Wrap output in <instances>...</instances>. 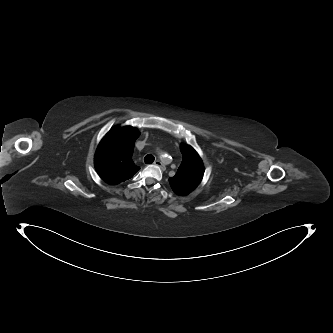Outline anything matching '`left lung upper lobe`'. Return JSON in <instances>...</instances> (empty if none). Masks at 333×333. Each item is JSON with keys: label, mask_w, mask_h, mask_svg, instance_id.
Returning <instances> with one entry per match:
<instances>
[{"label": "left lung upper lobe", "mask_w": 333, "mask_h": 333, "mask_svg": "<svg viewBox=\"0 0 333 333\" xmlns=\"http://www.w3.org/2000/svg\"><path fill=\"white\" fill-rule=\"evenodd\" d=\"M180 150L182 163L175 176L169 178V183L174 193L186 196L201 182L204 167L200 156L190 145L181 144Z\"/></svg>", "instance_id": "1"}]
</instances>
